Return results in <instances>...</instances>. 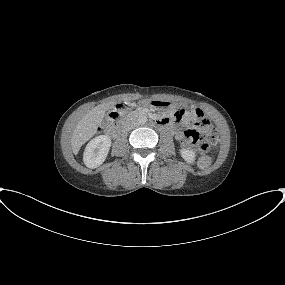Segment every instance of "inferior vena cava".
<instances>
[{"instance_id":"inferior-vena-cava-1","label":"inferior vena cava","mask_w":285,"mask_h":285,"mask_svg":"<svg viewBox=\"0 0 285 285\" xmlns=\"http://www.w3.org/2000/svg\"><path fill=\"white\" fill-rule=\"evenodd\" d=\"M136 125H137L136 122L130 123V124L126 125L125 129H126V130H131V129H133Z\"/></svg>"}]
</instances>
